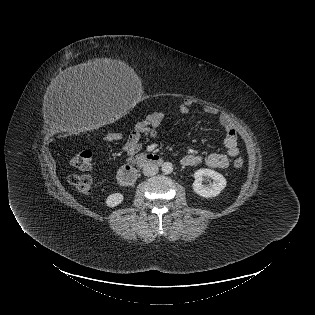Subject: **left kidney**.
Listing matches in <instances>:
<instances>
[{"mask_svg": "<svg viewBox=\"0 0 315 315\" xmlns=\"http://www.w3.org/2000/svg\"><path fill=\"white\" fill-rule=\"evenodd\" d=\"M204 177L211 178L213 180L209 185H203L202 181ZM195 181L192 185L195 193L202 197H215L220 194V192L226 187V179L220 173L202 168L194 173Z\"/></svg>", "mask_w": 315, "mask_h": 315, "instance_id": "left-kidney-1", "label": "left kidney"}]
</instances>
